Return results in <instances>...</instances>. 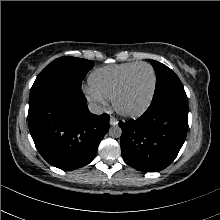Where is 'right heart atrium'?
<instances>
[{"mask_svg": "<svg viewBox=\"0 0 220 220\" xmlns=\"http://www.w3.org/2000/svg\"><path fill=\"white\" fill-rule=\"evenodd\" d=\"M87 99L97 108H103L106 105V99L94 92L92 89L86 91Z\"/></svg>", "mask_w": 220, "mask_h": 220, "instance_id": "right-heart-atrium-1", "label": "right heart atrium"}]
</instances>
